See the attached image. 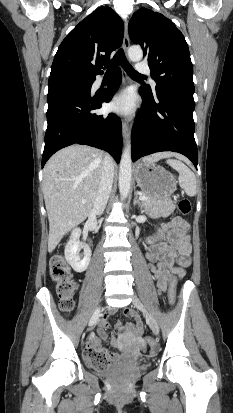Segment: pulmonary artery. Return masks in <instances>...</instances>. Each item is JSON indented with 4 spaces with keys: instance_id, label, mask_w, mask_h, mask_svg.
<instances>
[{
    "instance_id": "e3ab8cb5",
    "label": "pulmonary artery",
    "mask_w": 233,
    "mask_h": 413,
    "mask_svg": "<svg viewBox=\"0 0 233 413\" xmlns=\"http://www.w3.org/2000/svg\"><path fill=\"white\" fill-rule=\"evenodd\" d=\"M137 70L140 73L149 74V68L143 64H138ZM101 80H99L100 82ZM151 84L155 86V81L151 79Z\"/></svg>"
}]
</instances>
